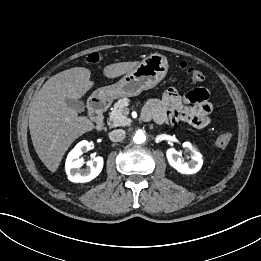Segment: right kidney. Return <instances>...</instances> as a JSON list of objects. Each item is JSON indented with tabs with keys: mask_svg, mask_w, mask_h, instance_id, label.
Masks as SVG:
<instances>
[{
	"mask_svg": "<svg viewBox=\"0 0 261 261\" xmlns=\"http://www.w3.org/2000/svg\"><path fill=\"white\" fill-rule=\"evenodd\" d=\"M91 147V144L86 141H80L74 149L70 151L65 163V171L68 175V179L75 183H85L96 178L103 168V158L98 156L88 162L86 169H80L84 160L80 156L87 152Z\"/></svg>",
	"mask_w": 261,
	"mask_h": 261,
	"instance_id": "1",
	"label": "right kidney"
}]
</instances>
